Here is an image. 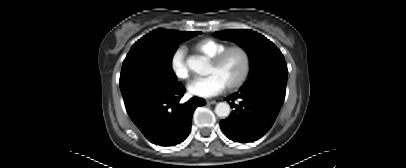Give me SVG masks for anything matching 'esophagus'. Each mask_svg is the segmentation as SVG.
Masks as SVG:
<instances>
[{
  "label": "esophagus",
  "instance_id": "1",
  "mask_svg": "<svg viewBox=\"0 0 406 168\" xmlns=\"http://www.w3.org/2000/svg\"><path fill=\"white\" fill-rule=\"evenodd\" d=\"M206 103H207L208 105H212V104H216V101H215V100L207 99V100H206Z\"/></svg>",
  "mask_w": 406,
  "mask_h": 168
}]
</instances>
